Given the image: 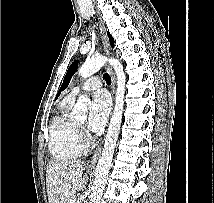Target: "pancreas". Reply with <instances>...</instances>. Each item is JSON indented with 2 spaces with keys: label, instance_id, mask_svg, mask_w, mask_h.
<instances>
[{
  "label": "pancreas",
  "instance_id": "pancreas-1",
  "mask_svg": "<svg viewBox=\"0 0 214 203\" xmlns=\"http://www.w3.org/2000/svg\"><path fill=\"white\" fill-rule=\"evenodd\" d=\"M66 203H76V200H75V198H71Z\"/></svg>",
  "mask_w": 214,
  "mask_h": 203
}]
</instances>
